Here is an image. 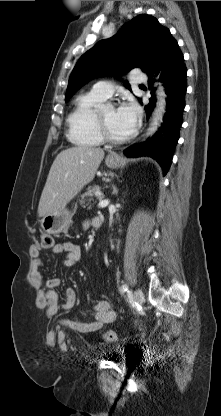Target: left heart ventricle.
Listing matches in <instances>:
<instances>
[{
  "instance_id": "obj_1",
  "label": "left heart ventricle",
  "mask_w": 221,
  "mask_h": 416,
  "mask_svg": "<svg viewBox=\"0 0 221 416\" xmlns=\"http://www.w3.org/2000/svg\"><path fill=\"white\" fill-rule=\"evenodd\" d=\"M101 115L113 137L121 139L128 136L117 117V111L113 107L103 108Z\"/></svg>"
}]
</instances>
